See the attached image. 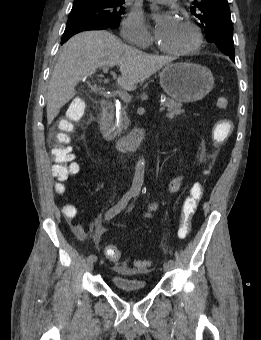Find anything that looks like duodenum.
<instances>
[{
	"label": "duodenum",
	"instance_id": "410a0bca",
	"mask_svg": "<svg viewBox=\"0 0 261 340\" xmlns=\"http://www.w3.org/2000/svg\"><path fill=\"white\" fill-rule=\"evenodd\" d=\"M114 114L115 105L112 101H104L102 104V115L100 120V129L104 137L110 141H115L114 136ZM144 137L142 129H136L128 136L116 141L119 150L123 153L135 151Z\"/></svg>",
	"mask_w": 261,
	"mask_h": 340
}]
</instances>
